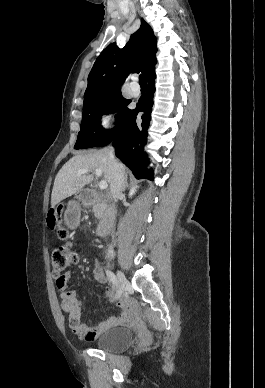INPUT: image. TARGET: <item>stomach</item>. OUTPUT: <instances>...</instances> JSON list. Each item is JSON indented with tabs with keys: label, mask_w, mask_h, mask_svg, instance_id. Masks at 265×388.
Masks as SVG:
<instances>
[{
	"label": "stomach",
	"mask_w": 265,
	"mask_h": 388,
	"mask_svg": "<svg viewBox=\"0 0 265 388\" xmlns=\"http://www.w3.org/2000/svg\"><path fill=\"white\" fill-rule=\"evenodd\" d=\"M80 205L77 201H70L65 212V221L69 226H74L79 221Z\"/></svg>",
	"instance_id": "0dacf381"
}]
</instances>
